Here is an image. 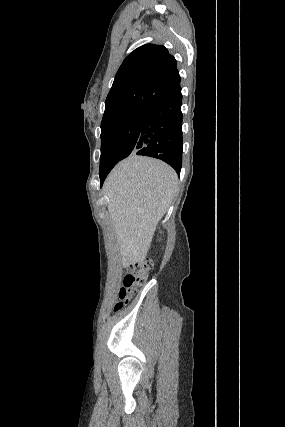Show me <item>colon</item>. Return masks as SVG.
I'll return each mask as SVG.
<instances>
[{
	"mask_svg": "<svg viewBox=\"0 0 285 427\" xmlns=\"http://www.w3.org/2000/svg\"><path fill=\"white\" fill-rule=\"evenodd\" d=\"M151 266L152 263L149 259H140L127 266L126 273L123 276V285L118 292V301L114 307L115 312L120 311L136 293L137 287L144 284Z\"/></svg>",
	"mask_w": 285,
	"mask_h": 427,
	"instance_id": "1",
	"label": "colon"
}]
</instances>
